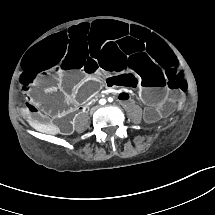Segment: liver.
Instances as JSON below:
<instances>
[{"mask_svg":"<svg viewBox=\"0 0 215 215\" xmlns=\"http://www.w3.org/2000/svg\"><path fill=\"white\" fill-rule=\"evenodd\" d=\"M28 124L36 131L40 133H45L49 135H58L61 133V130L58 126L54 124H43V123H37L28 120Z\"/></svg>","mask_w":215,"mask_h":215,"instance_id":"obj_1","label":"liver"}]
</instances>
